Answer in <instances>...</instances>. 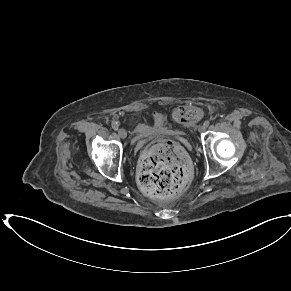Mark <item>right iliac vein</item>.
Instances as JSON below:
<instances>
[{"instance_id":"1","label":"right iliac vein","mask_w":291,"mask_h":291,"mask_svg":"<svg viewBox=\"0 0 291 291\" xmlns=\"http://www.w3.org/2000/svg\"><path fill=\"white\" fill-rule=\"evenodd\" d=\"M118 136H119L120 138H122V139H125L126 136H127V131H126L125 129H123V128H120V129L118 130Z\"/></svg>"}]
</instances>
